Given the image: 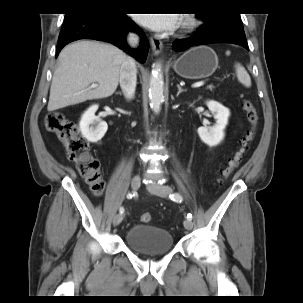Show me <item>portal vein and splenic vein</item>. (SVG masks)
<instances>
[{"mask_svg": "<svg viewBox=\"0 0 303 303\" xmlns=\"http://www.w3.org/2000/svg\"><path fill=\"white\" fill-rule=\"evenodd\" d=\"M203 85H204V82H203V81H199V82L193 84L192 87H193V88H197V87H201V86H203ZM91 87H92V88H95V87H97V84H92Z\"/></svg>", "mask_w": 303, "mask_h": 303, "instance_id": "portal-vein-and-splenic-vein-1", "label": "portal vein and splenic vein"}]
</instances>
